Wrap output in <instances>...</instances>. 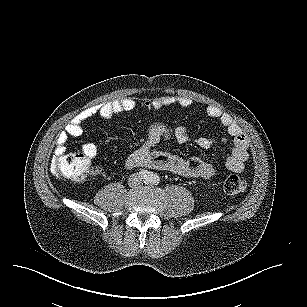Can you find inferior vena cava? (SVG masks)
<instances>
[{
    "label": "inferior vena cava",
    "instance_id": "1",
    "mask_svg": "<svg viewBox=\"0 0 307 307\" xmlns=\"http://www.w3.org/2000/svg\"><path fill=\"white\" fill-rule=\"evenodd\" d=\"M143 177L139 173H134L130 175L128 179V184L130 187H136L142 183Z\"/></svg>",
    "mask_w": 307,
    "mask_h": 307
}]
</instances>
